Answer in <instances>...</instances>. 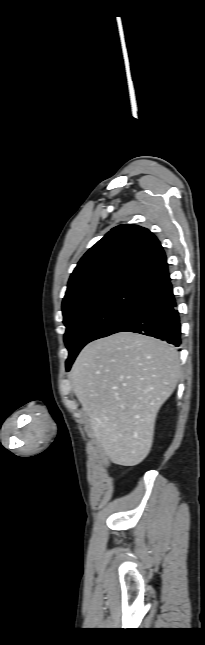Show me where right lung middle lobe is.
<instances>
[{
    "instance_id": "right-lung-middle-lobe-1",
    "label": "right lung middle lobe",
    "mask_w": 205,
    "mask_h": 645,
    "mask_svg": "<svg viewBox=\"0 0 205 645\" xmlns=\"http://www.w3.org/2000/svg\"><path fill=\"white\" fill-rule=\"evenodd\" d=\"M144 295V287L127 284L77 300L62 308L63 323L66 326L64 341L69 351L67 370L87 343L101 338Z\"/></svg>"
}]
</instances>
